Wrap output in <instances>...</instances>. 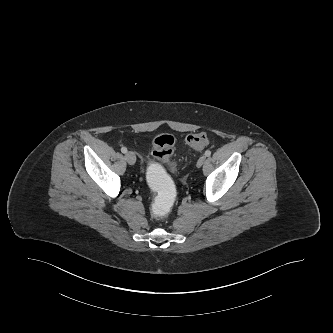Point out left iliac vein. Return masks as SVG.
<instances>
[{"instance_id": "4c4485c4", "label": "left iliac vein", "mask_w": 333, "mask_h": 333, "mask_svg": "<svg viewBox=\"0 0 333 333\" xmlns=\"http://www.w3.org/2000/svg\"><path fill=\"white\" fill-rule=\"evenodd\" d=\"M206 161V157L205 156H201L198 161H197V166L201 167Z\"/></svg>"}]
</instances>
